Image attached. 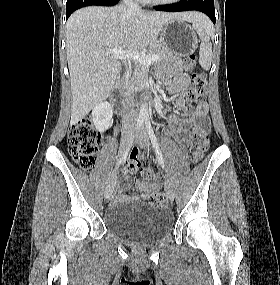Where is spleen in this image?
Returning <instances> with one entry per match:
<instances>
[{
    "mask_svg": "<svg viewBox=\"0 0 280 285\" xmlns=\"http://www.w3.org/2000/svg\"><path fill=\"white\" fill-rule=\"evenodd\" d=\"M193 27L201 39L199 63L203 69L209 70L212 62V44L210 42L212 24L207 18H201L193 23Z\"/></svg>",
    "mask_w": 280,
    "mask_h": 285,
    "instance_id": "spleen-1",
    "label": "spleen"
}]
</instances>
